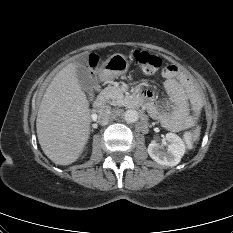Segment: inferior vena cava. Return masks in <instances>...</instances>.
Masks as SVG:
<instances>
[{
  "label": "inferior vena cava",
  "instance_id": "inferior-vena-cava-1",
  "mask_svg": "<svg viewBox=\"0 0 233 233\" xmlns=\"http://www.w3.org/2000/svg\"><path fill=\"white\" fill-rule=\"evenodd\" d=\"M115 114L109 106H104L98 110L97 121L100 125H107L109 119L114 117Z\"/></svg>",
  "mask_w": 233,
  "mask_h": 233
}]
</instances>
